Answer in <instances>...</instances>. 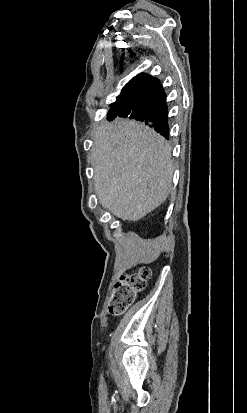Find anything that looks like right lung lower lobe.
<instances>
[{
  "label": "right lung lower lobe",
  "mask_w": 247,
  "mask_h": 413,
  "mask_svg": "<svg viewBox=\"0 0 247 413\" xmlns=\"http://www.w3.org/2000/svg\"><path fill=\"white\" fill-rule=\"evenodd\" d=\"M135 88L134 99H118L111 104L107 120L116 117L144 122L168 139V109L166 94L160 82L146 74H140L130 82Z\"/></svg>",
  "instance_id": "obj_1"
}]
</instances>
